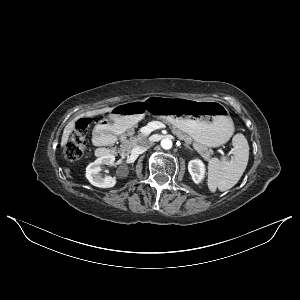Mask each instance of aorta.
I'll return each instance as SVG.
<instances>
[{
	"instance_id": "1",
	"label": "aorta",
	"mask_w": 300,
	"mask_h": 300,
	"mask_svg": "<svg viewBox=\"0 0 300 300\" xmlns=\"http://www.w3.org/2000/svg\"><path fill=\"white\" fill-rule=\"evenodd\" d=\"M173 146L172 140L170 138H164L161 140V147L165 150H170Z\"/></svg>"
}]
</instances>
